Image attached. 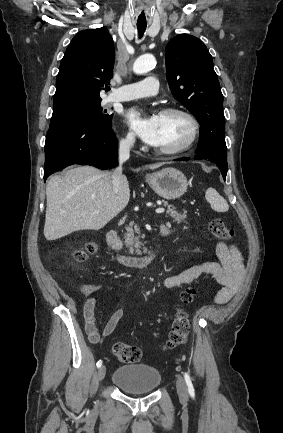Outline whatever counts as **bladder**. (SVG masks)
<instances>
[{
	"mask_svg": "<svg viewBox=\"0 0 283 433\" xmlns=\"http://www.w3.org/2000/svg\"><path fill=\"white\" fill-rule=\"evenodd\" d=\"M160 380V371L147 364L120 366L113 376V383L128 393H149L158 388Z\"/></svg>",
	"mask_w": 283,
	"mask_h": 433,
	"instance_id": "31cf9c89",
	"label": "bladder"
}]
</instances>
